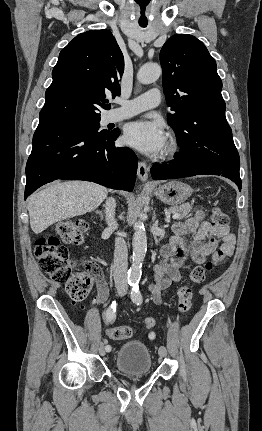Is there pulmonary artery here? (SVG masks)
<instances>
[{
    "label": "pulmonary artery",
    "mask_w": 262,
    "mask_h": 431,
    "mask_svg": "<svg viewBox=\"0 0 262 431\" xmlns=\"http://www.w3.org/2000/svg\"><path fill=\"white\" fill-rule=\"evenodd\" d=\"M117 102L121 106L109 112L108 122H117L155 108L161 103V94L158 88H152L133 99H118Z\"/></svg>",
    "instance_id": "obj_1"
}]
</instances>
